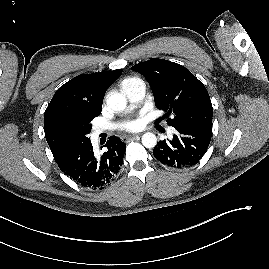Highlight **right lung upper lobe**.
I'll return each instance as SVG.
<instances>
[{
	"mask_svg": "<svg viewBox=\"0 0 269 269\" xmlns=\"http://www.w3.org/2000/svg\"><path fill=\"white\" fill-rule=\"evenodd\" d=\"M122 70L81 74L63 84L54 94L44 115L45 137L52 126L65 117L94 119L101 113L106 90Z\"/></svg>",
	"mask_w": 269,
	"mask_h": 269,
	"instance_id": "cb5924a9",
	"label": "right lung upper lobe"
}]
</instances>
